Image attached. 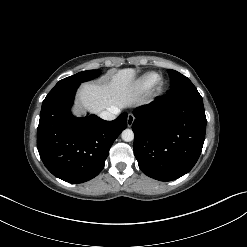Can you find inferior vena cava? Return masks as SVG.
Wrapping results in <instances>:
<instances>
[{
    "label": "inferior vena cava",
    "instance_id": "602c4592",
    "mask_svg": "<svg viewBox=\"0 0 247 247\" xmlns=\"http://www.w3.org/2000/svg\"><path fill=\"white\" fill-rule=\"evenodd\" d=\"M120 113V109L119 108H110L109 110L106 111H102L99 114V117L104 119V120H114L116 118V116Z\"/></svg>",
    "mask_w": 247,
    "mask_h": 247
}]
</instances>
